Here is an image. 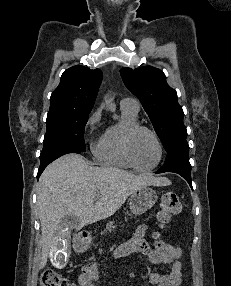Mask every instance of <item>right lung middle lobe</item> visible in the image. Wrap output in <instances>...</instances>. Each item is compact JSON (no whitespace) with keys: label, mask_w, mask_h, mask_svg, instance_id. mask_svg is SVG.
<instances>
[{"label":"right lung middle lobe","mask_w":231,"mask_h":286,"mask_svg":"<svg viewBox=\"0 0 231 286\" xmlns=\"http://www.w3.org/2000/svg\"><path fill=\"white\" fill-rule=\"evenodd\" d=\"M90 111L50 109L40 159L67 149L85 152L84 129Z\"/></svg>","instance_id":"obj_1"}]
</instances>
